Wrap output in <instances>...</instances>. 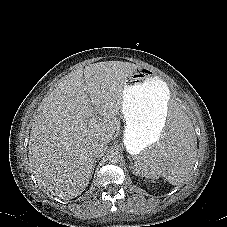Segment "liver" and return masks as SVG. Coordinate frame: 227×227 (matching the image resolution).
<instances>
[{
	"mask_svg": "<svg viewBox=\"0 0 227 227\" xmlns=\"http://www.w3.org/2000/svg\"><path fill=\"white\" fill-rule=\"evenodd\" d=\"M135 64L99 62L63 77L32 124L29 164L38 183L61 199L80 195L94 170L93 146L108 144L120 127L123 91ZM103 118L89 124L94 113Z\"/></svg>",
	"mask_w": 227,
	"mask_h": 227,
	"instance_id": "obj_1",
	"label": "liver"
}]
</instances>
